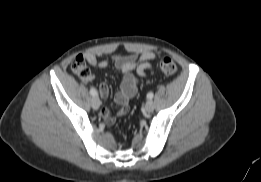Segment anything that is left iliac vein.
<instances>
[{
    "mask_svg": "<svg viewBox=\"0 0 261 182\" xmlns=\"http://www.w3.org/2000/svg\"><path fill=\"white\" fill-rule=\"evenodd\" d=\"M145 110L147 112H152L154 110V103L152 102V100H148L145 104Z\"/></svg>",
    "mask_w": 261,
    "mask_h": 182,
    "instance_id": "4c4485c4",
    "label": "left iliac vein"
}]
</instances>
